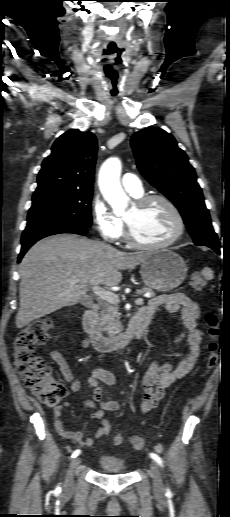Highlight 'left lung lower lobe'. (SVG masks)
Listing matches in <instances>:
<instances>
[{"label":"left lung lower lobe","mask_w":230,"mask_h":517,"mask_svg":"<svg viewBox=\"0 0 230 517\" xmlns=\"http://www.w3.org/2000/svg\"><path fill=\"white\" fill-rule=\"evenodd\" d=\"M208 247L212 248L213 250H215L218 254H220V251H219V244H209Z\"/></svg>","instance_id":"left-lung-lower-lobe-1"}]
</instances>
